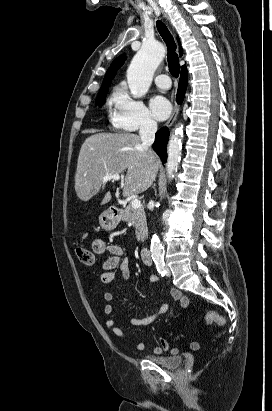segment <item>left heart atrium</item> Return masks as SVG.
I'll return each mask as SVG.
<instances>
[{"label":"left heart atrium","mask_w":272,"mask_h":411,"mask_svg":"<svg viewBox=\"0 0 272 411\" xmlns=\"http://www.w3.org/2000/svg\"><path fill=\"white\" fill-rule=\"evenodd\" d=\"M150 107L159 120L166 119L171 112L169 101L160 95L154 96L150 101Z\"/></svg>","instance_id":"left-heart-atrium-1"}]
</instances>
